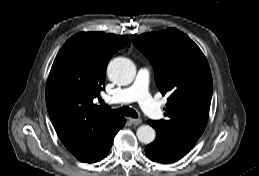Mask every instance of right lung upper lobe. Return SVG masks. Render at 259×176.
Segmentation results:
<instances>
[{"label": "right lung upper lobe", "instance_id": "obj_1", "mask_svg": "<svg viewBox=\"0 0 259 176\" xmlns=\"http://www.w3.org/2000/svg\"><path fill=\"white\" fill-rule=\"evenodd\" d=\"M125 36L82 32L66 41L52 65L46 105L56 133L76 157L96 148L119 125L121 117L93 104L105 82L107 64Z\"/></svg>", "mask_w": 259, "mask_h": 176}]
</instances>
